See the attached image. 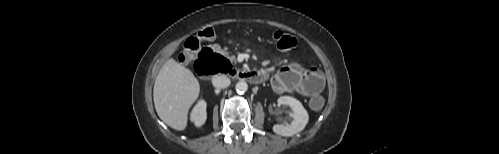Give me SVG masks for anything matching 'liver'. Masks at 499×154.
<instances>
[{"mask_svg":"<svg viewBox=\"0 0 499 154\" xmlns=\"http://www.w3.org/2000/svg\"><path fill=\"white\" fill-rule=\"evenodd\" d=\"M199 93L200 84L194 74L171 58L163 64L155 79L156 112L168 126L183 131L187 127L189 109Z\"/></svg>","mask_w":499,"mask_h":154,"instance_id":"6515ba94","label":"liver"}]
</instances>
